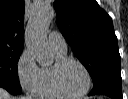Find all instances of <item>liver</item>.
I'll return each mask as SVG.
<instances>
[{
	"mask_svg": "<svg viewBox=\"0 0 128 99\" xmlns=\"http://www.w3.org/2000/svg\"><path fill=\"white\" fill-rule=\"evenodd\" d=\"M0 99H14V98H12V96L6 90L0 88ZM21 99H30V98L23 97Z\"/></svg>",
	"mask_w": 128,
	"mask_h": 99,
	"instance_id": "obj_1",
	"label": "liver"
}]
</instances>
